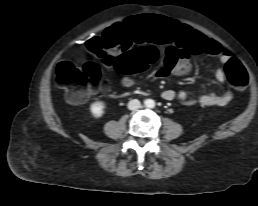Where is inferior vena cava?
<instances>
[{"instance_id": "602c4592", "label": "inferior vena cava", "mask_w": 258, "mask_h": 206, "mask_svg": "<svg viewBox=\"0 0 258 206\" xmlns=\"http://www.w3.org/2000/svg\"><path fill=\"white\" fill-rule=\"evenodd\" d=\"M140 107H141V103L137 99H133V100L129 101V103H128V109L129 110H137Z\"/></svg>"}]
</instances>
